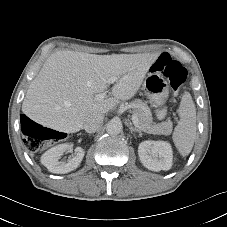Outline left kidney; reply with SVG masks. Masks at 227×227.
<instances>
[{"instance_id": "obj_1", "label": "left kidney", "mask_w": 227, "mask_h": 227, "mask_svg": "<svg viewBox=\"0 0 227 227\" xmlns=\"http://www.w3.org/2000/svg\"><path fill=\"white\" fill-rule=\"evenodd\" d=\"M141 163L149 170H169L172 167L173 152L165 141H143L138 147Z\"/></svg>"}]
</instances>
